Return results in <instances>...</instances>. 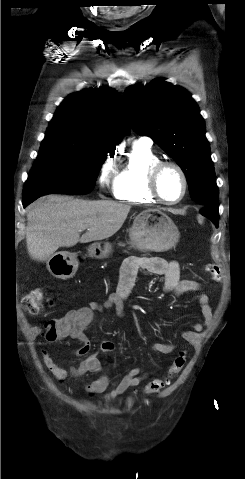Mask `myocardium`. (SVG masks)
I'll use <instances>...</instances> for the list:
<instances>
[{
    "mask_svg": "<svg viewBox=\"0 0 245 479\" xmlns=\"http://www.w3.org/2000/svg\"><path fill=\"white\" fill-rule=\"evenodd\" d=\"M172 168L174 169L180 176L181 181H182V194L181 196L174 200V201H169L166 200L163 195L161 194L160 188H159V182L162 173L168 169ZM148 188L150 193L161 203L167 204V205H174L180 203L186 196L188 192V179L186 176V173L184 169L176 162L174 161H169V160H163L159 161L156 163L150 170L149 177H148Z\"/></svg>",
    "mask_w": 245,
    "mask_h": 479,
    "instance_id": "myocardium-1",
    "label": "myocardium"
}]
</instances>
